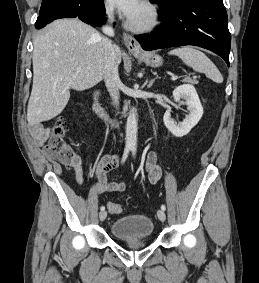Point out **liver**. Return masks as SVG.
<instances>
[{"label":"liver","instance_id":"6515ba94","mask_svg":"<svg viewBox=\"0 0 259 283\" xmlns=\"http://www.w3.org/2000/svg\"><path fill=\"white\" fill-rule=\"evenodd\" d=\"M103 38L79 19L56 20L36 36L27 107L31 126L58 116L69 101L71 89L83 91L104 78ZM114 48L118 66L121 51L117 45Z\"/></svg>","mask_w":259,"mask_h":283}]
</instances>
